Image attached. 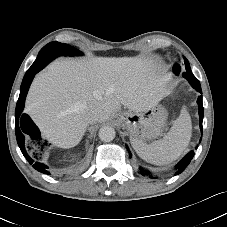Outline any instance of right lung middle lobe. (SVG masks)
Here are the masks:
<instances>
[{"mask_svg": "<svg viewBox=\"0 0 227 227\" xmlns=\"http://www.w3.org/2000/svg\"><path fill=\"white\" fill-rule=\"evenodd\" d=\"M45 52H52L56 56H60L62 54H66V55H70V56L81 55L82 54V52L79 51L78 49H76V48H74V47H72L70 45H67L65 43L50 42V43H48L47 45H45L40 50V52H39L38 57H37L36 60H38Z\"/></svg>", "mask_w": 227, "mask_h": 227, "instance_id": "dd1d6c3e", "label": "right lung middle lobe"}]
</instances>
